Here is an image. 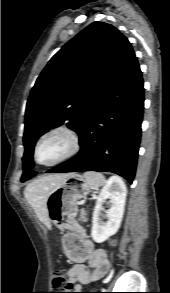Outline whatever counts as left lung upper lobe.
Wrapping results in <instances>:
<instances>
[{"label":"left lung upper lobe","instance_id":"1","mask_svg":"<svg viewBox=\"0 0 170 293\" xmlns=\"http://www.w3.org/2000/svg\"><path fill=\"white\" fill-rule=\"evenodd\" d=\"M132 52L114 26L94 22L52 57L27 102L21 182L37 173L32 171L37 139L62 124L79 134Z\"/></svg>","mask_w":170,"mask_h":293}]
</instances>
